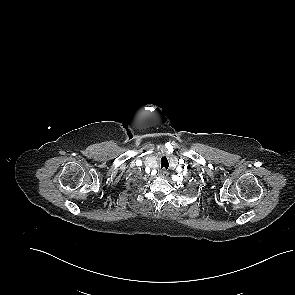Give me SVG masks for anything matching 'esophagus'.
<instances>
[{
    "label": "esophagus",
    "mask_w": 295,
    "mask_h": 295,
    "mask_svg": "<svg viewBox=\"0 0 295 295\" xmlns=\"http://www.w3.org/2000/svg\"><path fill=\"white\" fill-rule=\"evenodd\" d=\"M168 172L166 171V170H161L160 172H159V177H161V178H166L167 176H168Z\"/></svg>",
    "instance_id": "1"
}]
</instances>
